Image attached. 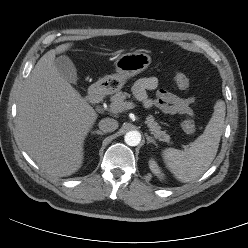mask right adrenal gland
Listing matches in <instances>:
<instances>
[{
	"label": "right adrenal gland",
	"instance_id": "1",
	"mask_svg": "<svg viewBox=\"0 0 248 248\" xmlns=\"http://www.w3.org/2000/svg\"><path fill=\"white\" fill-rule=\"evenodd\" d=\"M93 134H97V135H104L105 134V132H102V131H100V130H95V131H93L92 132Z\"/></svg>",
	"mask_w": 248,
	"mask_h": 248
}]
</instances>
